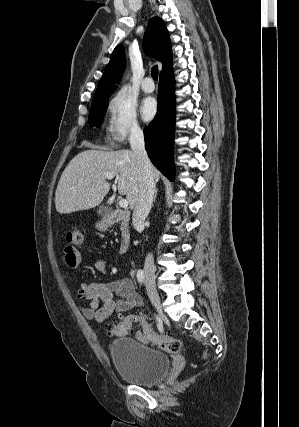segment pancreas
<instances>
[{
	"mask_svg": "<svg viewBox=\"0 0 299 427\" xmlns=\"http://www.w3.org/2000/svg\"><path fill=\"white\" fill-rule=\"evenodd\" d=\"M121 230L128 235V229H126L123 225H121Z\"/></svg>",
	"mask_w": 299,
	"mask_h": 427,
	"instance_id": "1",
	"label": "pancreas"
}]
</instances>
